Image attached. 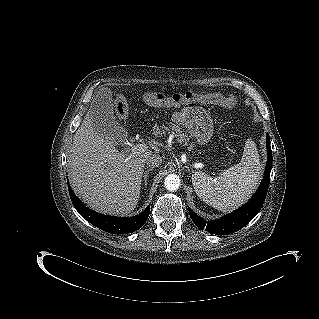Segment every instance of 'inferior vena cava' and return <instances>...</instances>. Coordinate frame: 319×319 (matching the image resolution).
Masks as SVG:
<instances>
[{"mask_svg": "<svg viewBox=\"0 0 319 319\" xmlns=\"http://www.w3.org/2000/svg\"><path fill=\"white\" fill-rule=\"evenodd\" d=\"M162 164V157L158 154L149 156L146 160L147 167L155 168Z\"/></svg>", "mask_w": 319, "mask_h": 319, "instance_id": "1", "label": "inferior vena cava"}]
</instances>
